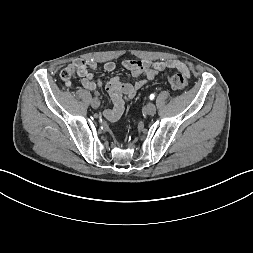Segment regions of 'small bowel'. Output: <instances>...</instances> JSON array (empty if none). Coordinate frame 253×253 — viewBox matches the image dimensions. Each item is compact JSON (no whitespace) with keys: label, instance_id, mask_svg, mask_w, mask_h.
<instances>
[{"label":"small bowel","instance_id":"1","mask_svg":"<svg viewBox=\"0 0 253 253\" xmlns=\"http://www.w3.org/2000/svg\"><path fill=\"white\" fill-rule=\"evenodd\" d=\"M122 66L129 70L136 78H141L135 82H123L118 77H112L105 83V88L113 102V107L105 109L103 114L106 119L115 121L120 118L124 111L126 101L134 98L137 91L152 81L158 74L165 69H177L187 72L188 67L185 63L177 59L152 62L149 60H124ZM94 60L77 59L68 65V69L81 77L82 86L90 91L103 85L102 81H95L91 70L96 68ZM116 69V63L108 61L104 64V70L108 73Z\"/></svg>","mask_w":253,"mask_h":253}]
</instances>
